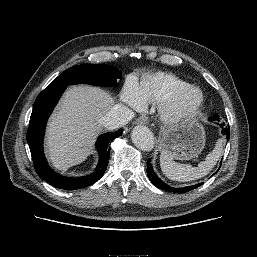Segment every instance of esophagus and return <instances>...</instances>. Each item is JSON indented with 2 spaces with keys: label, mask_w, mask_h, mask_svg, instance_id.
<instances>
[{
  "label": "esophagus",
  "mask_w": 257,
  "mask_h": 257,
  "mask_svg": "<svg viewBox=\"0 0 257 257\" xmlns=\"http://www.w3.org/2000/svg\"><path fill=\"white\" fill-rule=\"evenodd\" d=\"M148 123V118L146 116H140L137 120H136V124L137 125H146Z\"/></svg>",
  "instance_id": "34e87169"
}]
</instances>
